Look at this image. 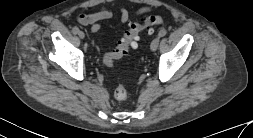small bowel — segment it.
Listing matches in <instances>:
<instances>
[{
    "label": "small bowel",
    "mask_w": 253,
    "mask_h": 138,
    "mask_svg": "<svg viewBox=\"0 0 253 138\" xmlns=\"http://www.w3.org/2000/svg\"><path fill=\"white\" fill-rule=\"evenodd\" d=\"M150 8L149 7H141L139 8L136 13L137 15H143L146 14L148 12H150ZM113 13L109 8L103 7L101 8L99 11L94 12V13H90V14H80L77 17V22L81 25H90L91 26V32L93 34L99 32V30L101 29V21L104 20H108L112 17ZM129 11L126 8H122L120 10V19L118 22V26H121L123 24H125L128 20H129ZM110 27H113L112 25H110Z\"/></svg>",
    "instance_id": "obj_1"
}]
</instances>
